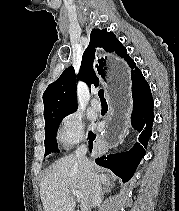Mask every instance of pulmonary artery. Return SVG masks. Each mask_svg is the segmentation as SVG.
Instances as JSON below:
<instances>
[{"label":"pulmonary artery","instance_id":"pulmonary-artery-1","mask_svg":"<svg viewBox=\"0 0 179 211\" xmlns=\"http://www.w3.org/2000/svg\"><path fill=\"white\" fill-rule=\"evenodd\" d=\"M91 106H92L93 110H95L97 112L101 111V109H102V105L96 97L92 100Z\"/></svg>","mask_w":179,"mask_h":211}]
</instances>
